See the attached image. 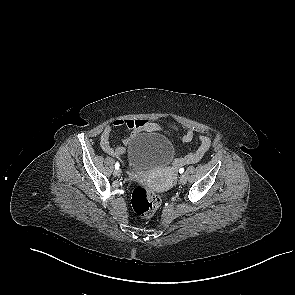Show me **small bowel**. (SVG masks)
<instances>
[{
	"label": "small bowel",
	"mask_w": 295,
	"mask_h": 295,
	"mask_svg": "<svg viewBox=\"0 0 295 295\" xmlns=\"http://www.w3.org/2000/svg\"><path fill=\"white\" fill-rule=\"evenodd\" d=\"M113 127L116 128H125L127 130V135L123 139L124 145H128L131 140L139 132H164L166 134H171L172 130L178 129V126L175 124H169L167 128L162 127L158 123L147 120V119H116L112 124L106 125L100 135V146L102 150L116 158L122 157L126 149L123 146H113L110 143V136L112 133ZM201 135L198 137V147L181 157L178 160L179 164H194L199 162L202 157L209 151L211 147V137L208 131L201 130ZM195 131L192 128H184V133L181 137V140L185 143L192 141L194 138Z\"/></svg>",
	"instance_id": "obj_1"
}]
</instances>
